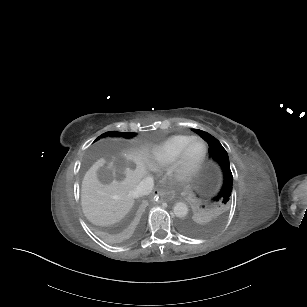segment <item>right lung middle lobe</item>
I'll use <instances>...</instances> for the list:
<instances>
[{
	"mask_svg": "<svg viewBox=\"0 0 307 307\" xmlns=\"http://www.w3.org/2000/svg\"><path fill=\"white\" fill-rule=\"evenodd\" d=\"M134 135H135V133L109 131V132H106V133L100 135V136L96 139V141H97L99 138L107 137V136L131 138V137H133Z\"/></svg>",
	"mask_w": 307,
	"mask_h": 307,
	"instance_id": "dd1d6c3e",
	"label": "right lung middle lobe"
}]
</instances>
